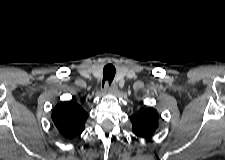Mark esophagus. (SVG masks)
Returning <instances> with one entry per match:
<instances>
[{"label":"esophagus","mask_w":225,"mask_h":160,"mask_svg":"<svg viewBox=\"0 0 225 160\" xmlns=\"http://www.w3.org/2000/svg\"><path fill=\"white\" fill-rule=\"evenodd\" d=\"M117 90H118V87L116 83H112L110 85L108 83L105 84L104 93H107V92L115 93L117 92Z\"/></svg>","instance_id":"esophagus-1"}]
</instances>
